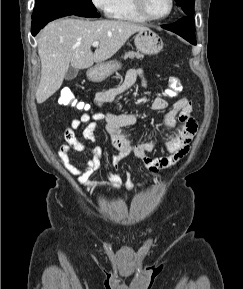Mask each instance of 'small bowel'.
I'll return each mask as SVG.
<instances>
[{
  "label": "small bowel",
  "instance_id": "obj_1",
  "mask_svg": "<svg viewBox=\"0 0 243 289\" xmlns=\"http://www.w3.org/2000/svg\"><path fill=\"white\" fill-rule=\"evenodd\" d=\"M137 80H140L143 87L147 85L141 69L133 68L128 70L123 82L119 86L97 92L94 96V102L99 107L113 102ZM167 106V100L162 96H158L151 102L150 109L153 111H162L166 109ZM192 110L191 101L186 97H181L164 115L157 131L158 136H164L165 133L172 130L178 122L182 125L178 135L166 139L161 143L163 149L167 152L165 156H150V153L157 147V142L155 141L139 142L136 144L131 143L124 129L135 123V113L114 114L111 112H84L79 117L72 119L69 126L59 134L58 138L65 141V143L59 147V157L67 170L77 176V181L80 185L89 190L97 189L98 184L90 182L89 179L93 173L103 171V151L100 146L96 145L97 138L95 136V131L98 128L97 122H102L112 146L117 150V153L111 160L114 170L117 171L120 162L132 154L141 161L145 169L154 175L153 180H157L162 170L177 166L189 152L190 144L198 130L197 122L192 116ZM78 129L83 130V136L92 144L91 146H86L76 139L74 131ZM72 151L90 153L91 158L84 163L82 168H79L71 162L70 153ZM105 173L109 178L106 186L110 189H118L123 185L129 190L135 187L130 180L129 173L127 174L125 183L117 172ZM143 184L144 183L138 184L136 187H140Z\"/></svg>",
  "mask_w": 243,
  "mask_h": 289
}]
</instances>
